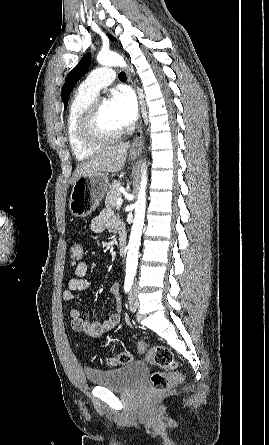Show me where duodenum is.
I'll list each match as a JSON object with an SVG mask.
<instances>
[{
	"mask_svg": "<svg viewBox=\"0 0 269 445\" xmlns=\"http://www.w3.org/2000/svg\"><path fill=\"white\" fill-rule=\"evenodd\" d=\"M118 251L121 256L126 253V236L123 232L119 235Z\"/></svg>",
	"mask_w": 269,
	"mask_h": 445,
	"instance_id": "duodenum-1",
	"label": "duodenum"
}]
</instances>
